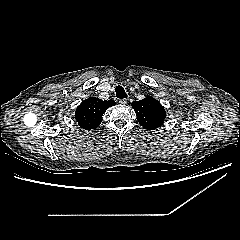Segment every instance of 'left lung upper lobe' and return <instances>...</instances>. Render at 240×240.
Here are the masks:
<instances>
[{
  "label": "left lung upper lobe",
  "instance_id": "5c2ea615",
  "mask_svg": "<svg viewBox=\"0 0 240 240\" xmlns=\"http://www.w3.org/2000/svg\"><path fill=\"white\" fill-rule=\"evenodd\" d=\"M139 123L148 130L161 126L166 117L164 107L153 97L147 96L143 100L132 103Z\"/></svg>",
  "mask_w": 240,
  "mask_h": 240
}]
</instances>
